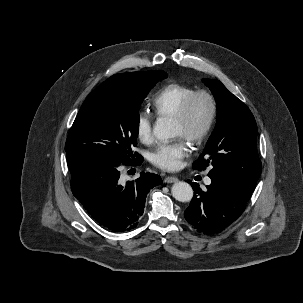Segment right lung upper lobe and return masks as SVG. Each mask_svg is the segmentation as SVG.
<instances>
[{
	"instance_id": "obj_1",
	"label": "right lung upper lobe",
	"mask_w": 303,
	"mask_h": 303,
	"mask_svg": "<svg viewBox=\"0 0 303 303\" xmlns=\"http://www.w3.org/2000/svg\"><path fill=\"white\" fill-rule=\"evenodd\" d=\"M146 72H132V73H122L120 75L125 76L130 79H139L145 75Z\"/></svg>"
}]
</instances>
